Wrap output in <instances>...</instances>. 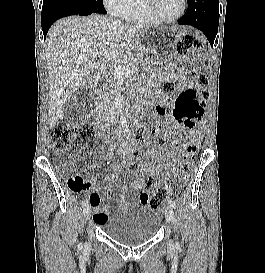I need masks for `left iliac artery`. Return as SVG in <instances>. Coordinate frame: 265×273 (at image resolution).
Segmentation results:
<instances>
[{
    "instance_id": "44dca946",
    "label": "left iliac artery",
    "mask_w": 265,
    "mask_h": 273,
    "mask_svg": "<svg viewBox=\"0 0 265 273\" xmlns=\"http://www.w3.org/2000/svg\"><path fill=\"white\" fill-rule=\"evenodd\" d=\"M168 205H169L171 208H175V207H176V203H175L172 199H168ZM176 247H177V248H180L179 242L176 243Z\"/></svg>"
}]
</instances>
